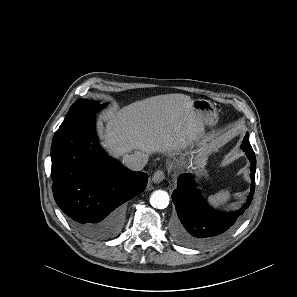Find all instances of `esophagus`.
<instances>
[{
	"label": "esophagus",
	"mask_w": 297,
	"mask_h": 297,
	"mask_svg": "<svg viewBox=\"0 0 297 297\" xmlns=\"http://www.w3.org/2000/svg\"><path fill=\"white\" fill-rule=\"evenodd\" d=\"M164 179H165V172L163 170H157L152 176V181L156 184L160 183Z\"/></svg>",
	"instance_id": "34e87169"
}]
</instances>
